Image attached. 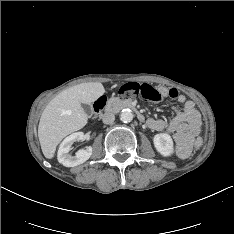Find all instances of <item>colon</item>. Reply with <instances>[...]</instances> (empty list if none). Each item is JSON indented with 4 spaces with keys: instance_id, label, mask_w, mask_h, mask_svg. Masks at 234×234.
<instances>
[{
    "instance_id": "5ec220e1",
    "label": "colon",
    "mask_w": 234,
    "mask_h": 234,
    "mask_svg": "<svg viewBox=\"0 0 234 234\" xmlns=\"http://www.w3.org/2000/svg\"><path fill=\"white\" fill-rule=\"evenodd\" d=\"M167 93L166 89L157 90L148 84L127 83L120 88L119 94L122 98L140 96L148 101H158ZM105 103L104 98H100L94 105V110L98 113ZM201 145L200 140H196L194 148Z\"/></svg>"
}]
</instances>
